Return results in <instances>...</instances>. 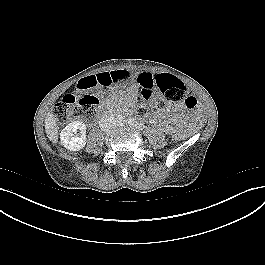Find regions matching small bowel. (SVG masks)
<instances>
[{"mask_svg": "<svg viewBox=\"0 0 265 265\" xmlns=\"http://www.w3.org/2000/svg\"><path fill=\"white\" fill-rule=\"evenodd\" d=\"M156 74L150 72H143L137 76L135 80L131 74L127 71L117 70L111 72H104L101 74H90L87 78L78 80L74 84V91L78 95H88L93 89H108L111 86L128 87V92L131 95H135L139 87H156L154 79ZM183 104L175 106L176 110H182ZM172 109L171 105H165L153 114L154 118H161L166 116ZM171 130L176 133L175 128Z\"/></svg>", "mask_w": 265, "mask_h": 265, "instance_id": "obj_1", "label": "small bowel"}]
</instances>
